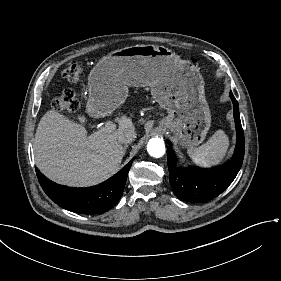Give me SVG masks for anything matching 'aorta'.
<instances>
[{
    "label": "aorta",
    "mask_w": 281,
    "mask_h": 281,
    "mask_svg": "<svg viewBox=\"0 0 281 281\" xmlns=\"http://www.w3.org/2000/svg\"><path fill=\"white\" fill-rule=\"evenodd\" d=\"M148 153L155 158H160L165 153V144L161 138H152L147 144Z\"/></svg>",
    "instance_id": "obj_1"
}]
</instances>
